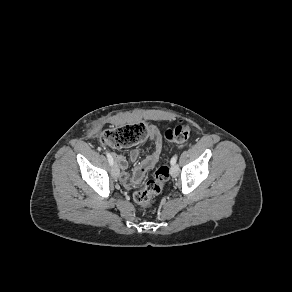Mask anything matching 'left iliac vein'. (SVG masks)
Wrapping results in <instances>:
<instances>
[{
	"label": "left iliac vein",
	"instance_id": "left-iliac-vein-1",
	"mask_svg": "<svg viewBox=\"0 0 292 292\" xmlns=\"http://www.w3.org/2000/svg\"><path fill=\"white\" fill-rule=\"evenodd\" d=\"M170 174H171L172 177L178 176V174H179V167L176 164H174V165L171 166V168H170Z\"/></svg>",
	"mask_w": 292,
	"mask_h": 292
}]
</instances>
